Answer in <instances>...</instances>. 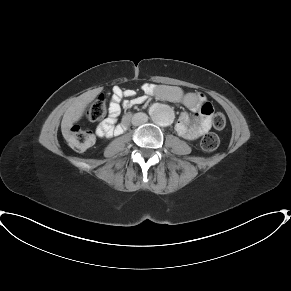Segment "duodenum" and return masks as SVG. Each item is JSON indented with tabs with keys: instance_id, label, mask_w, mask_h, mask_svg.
I'll return each mask as SVG.
<instances>
[{
	"instance_id": "1",
	"label": "duodenum",
	"mask_w": 291,
	"mask_h": 291,
	"mask_svg": "<svg viewBox=\"0 0 291 291\" xmlns=\"http://www.w3.org/2000/svg\"><path fill=\"white\" fill-rule=\"evenodd\" d=\"M129 119H130V115H126L125 116V119H124L125 120V123H127ZM123 128L126 129V125L123 126Z\"/></svg>"
}]
</instances>
